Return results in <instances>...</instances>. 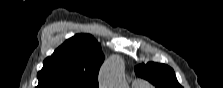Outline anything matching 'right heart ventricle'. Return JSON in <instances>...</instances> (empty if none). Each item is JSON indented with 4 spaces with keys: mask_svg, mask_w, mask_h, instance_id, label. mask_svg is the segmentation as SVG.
Instances as JSON below:
<instances>
[{
    "mask_svg": "<svg viewBox=\"0 0 223 88\" xmlns=\"http://www.w3.org/2000/svg\"><path fill=\"white\" fill-rule=\"evenodd\" d=\"M138 88H146V87H138Z\"/></svg>",
    "mask_w": 223,
    "mask_h": 88,
    "instance_id": "1",
    "label": "right heart ventricle"
}]
</instances>
